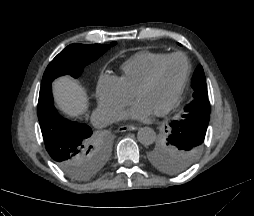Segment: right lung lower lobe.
<instances>
[{
  "mask_svg": "<svg viewBox=\"0 0 254 216\" xmlns=\"http://www.w3.org/2000/svg\"><path fill=\"white\" fill-rule=\"evenodd\" d=\"M37 114L46 150L55 163L72 177L78 175L72 170L74 163L79 164L85 180L95 175L97 167L93 153L96 135L86 124L59 115L53 105L51 84L40 88Z\"/></svg>",
  "mask_w": 254,
  "mask_h": 216,
  "instance_id": "1",
  "label": "right lung lower lobe"
}]
</instances>
